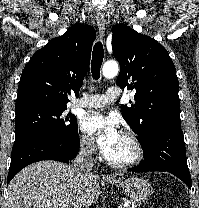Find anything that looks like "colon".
<instances>
[{
  "label": "colon",
  "mask_w": 199,
  "mask_h": 208,
  "mask_svg": "<svg viewBox=\"0 0 199 208\" xmlns=\"http://www.w3.org/2000/svg\"><path fill=\"white\" fill-rule=\"evenodd\" d=\"M159 208H167V207H159Z\"/></svg>",
  "instance_id": "obj_1"
}]
</instances>
